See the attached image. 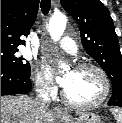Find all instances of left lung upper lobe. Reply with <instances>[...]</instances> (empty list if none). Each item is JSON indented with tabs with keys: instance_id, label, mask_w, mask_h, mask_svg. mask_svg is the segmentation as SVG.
<instances>
[{
	"instance_id": "5c2ea615",
	"label": "left lung upper lobe",
	"mask_w": 122,
	"mask_h": 123,
	"mask_svg": "<svg viewBox=\"0 0 122 123\" xmlns=\"http://www.w3.org/2000/svg\"><path fill=\"white\" fill-rule=\"evenodd\" d=\"M80 28L82 45L112 82L113 93L122 91V55L109 10L100 0H60Z\"/></svg>"
}]
</instances>
